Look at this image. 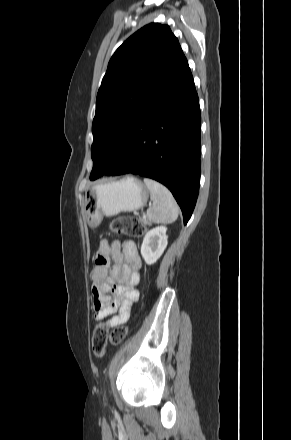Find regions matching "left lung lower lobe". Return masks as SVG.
<instances>
[{"label":"left lung lower lobe","instance_id":"1","mask_svg":"<svg viewBox=\"0 0 291 440\" xmlns=\"http://www.w3.org/2000/svg\"><path fill=\"white\" fill-rule=\"evenodd\" d=\"M200 128L198 95L184 58L149 102L103 175L132 173L164 184L187 224L199 192Z\"/></svg>","mask_w":291,"mask_h":440}]
</instances>
